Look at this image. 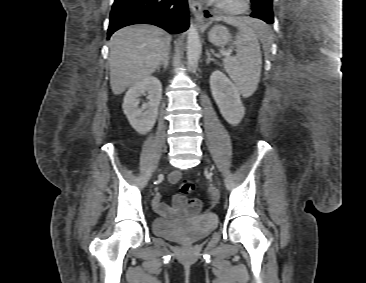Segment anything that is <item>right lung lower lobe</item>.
Segmentation results:
<instances>
[{
  "label": "right lung lower lobe",
  "instance_id": "98d812e1",
  "mask_svg": "<svg viewBox=\"0 0 366 283\" xmlns=\"http://www.w3.org/2000/svg\"><path fill=\"white\" fill-rule=\"evenodd\" d=\"M187 0H114L108 38L118 29L133 24H153L171 34L188 29Z\"/></svg>",
  "mask_w": 366,
  "mask_h": 283
}]
</instances>
